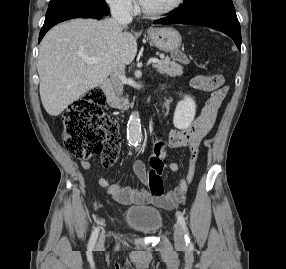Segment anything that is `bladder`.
<instances>
[{
  "label": "bladder",
  "instance_id": "bladder-1",
  "mask_svg": "<svg viewBox=\"0 0 286 269\" xmlns=\"http://www.w3.org/2000/svg\"><path fill=\"white\" fill-rule=\"evenodd\" d=\"M125 224L141 234H154L163 225L162 213L151 206H133L124 214Z\"/></svg>",
  "mask_w": 286,
  "mask_h": 269
}]
</instances>
